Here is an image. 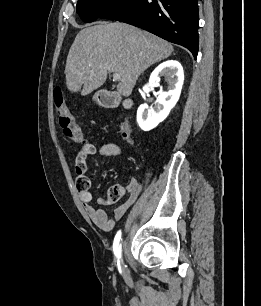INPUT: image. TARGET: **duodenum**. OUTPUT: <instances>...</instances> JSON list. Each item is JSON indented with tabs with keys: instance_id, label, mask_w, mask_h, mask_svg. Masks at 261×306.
<instances>
[{
	"instance_id": "obj_1",
	"label": "duodenum",
	"mask_w": 261,
	"mask_h": 306,
	"mask_svg": "<svg viewBox=\"0 0 261 306\" xmlns=\"http://www.w3.org/2000/svg\"><path fill=\"white\" fill-rule=\"evenodd\" d=\"M99 100L101 105L106 108L117 107L120 103H123L126 108H130L132 106V102L130 100L122 101L117 94L109 91H102L100 93Z\"/></svg>"
}]
</instances>
